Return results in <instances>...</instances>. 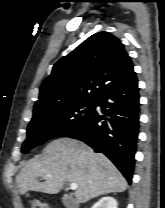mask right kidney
Instances as JSON below:
<instances>
[{"label": "right kidney", "mask_w": 165, "mask_h": 208, "mask_svg": "<svg viewBox=\"0 0 165 208\" xmlns=\"http://www.w3.org/2000/svg\"><path fill=\"white\" fill-rule=\"evenodd\" d=\"M117 201L113 197H103L92 208H117Z\"/></svg>", "instance_id": "right-kidney-1"}]
</instances>
